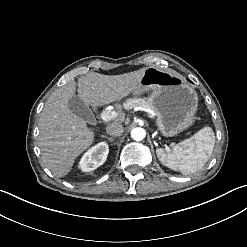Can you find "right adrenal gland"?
Returning a JSON list of instances; mask_svg holds the SVG:
<instances>
[{"mask_svg":"<svg viewBox=\"0 0 247 247\" xmlns=\"http://www.w3.org/2000/svg\"><path fill=\"white\" fill-rule=\"evenodd\" d=\"M101 137L106 138L107 140H109L110 142H112L114 139L112 137H108L106 135H101Z\"/></svg>","mask_w":247,"mask_h":247,"instance_id":"obj_1","label":"right adrenal gland"}]
</instances>
